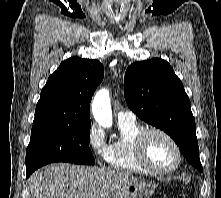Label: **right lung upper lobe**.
<instances>
[{
    "mask_svg": "<svg viewBox=\"0 0 221 198\" xmlns=\"http://www.w3.org/2000/svg\"><path fill=\"white\" fill-rule=\"evenodd\" d=\"M103 77V65L97 60L72 57L61 62L41 91L33 125L91 124L90 102Z\"/></svg>",
    "mask_w": 221,
    "mask_h": 198,
    "instance_id": "cb5924a9",
    "label": "right lung upper lobe"
}]
</instances>
